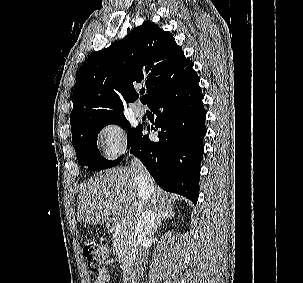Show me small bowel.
<instances>
[{
  "label": "small bowel",
  "mask_w": 303,
  "mask_h": 283,
  "mask_svg": "<svg viewBox=\"0 0 303 283\" xmlns=\"http://www.w3.org/2000/svg\"><path fill=\"white\" fill-rule=\"evenodd\" d=\"M115 263L114 259H108L103 269L99 272L95 283H107L110 279L109 268Z\"/></svg>",
  "instance_id": "c3829d8e"
}]
</instances>
